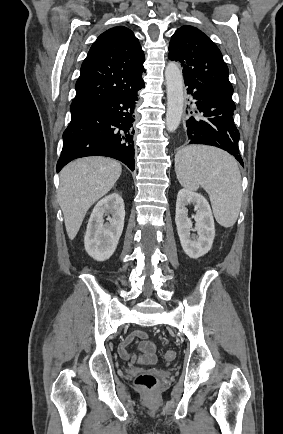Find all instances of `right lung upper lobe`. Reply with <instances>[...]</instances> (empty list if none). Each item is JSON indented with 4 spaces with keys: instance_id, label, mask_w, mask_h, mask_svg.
<instances>
[{
    "instance_id": "cb5924a9",
    "label": "right lung upper lobe",
    "mask_w": 283,
    "mask_h": 434,
    "mask_svg": "<svg viewBox=\"0 0 283 434\" xmlns=\"http://www.w3.org/2000/svg\"><path fill=\"white\" fill-rule=\"evenodd\" d=\"M144 60L141 45L128 28L117 26L102 33L82 63L71 112L138 87Z\"/></svg>"
}]
</instances>
